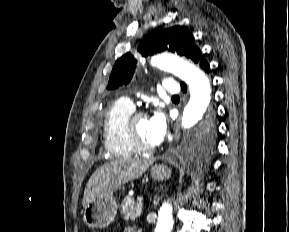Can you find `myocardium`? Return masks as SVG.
<instances>
[{
  "mask_svg": "<svg viewBox=\"0 0 289 232\" xmlns=\"http://www.w3.org/2000/svg\"><path fill=\"white\" fill-rule=\"evenodd\" d=\"M146 116V113L143 111H133L125 122L126 137L131 145L135 148V150L140 153H151L156 149V146H149L140 141L134 130L135 121L140 117Z\"/></svg>",
  "mask_w": 289,
  "mask_h": 232,
  "instance_id": "myocardium-1",
  "label": "myocardium"
}]
</instances>
